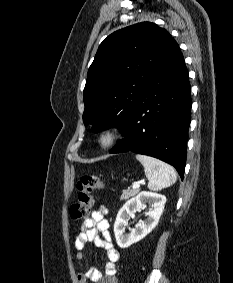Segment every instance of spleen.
<instances>
[{
	"label": "spleen",
	"mask_w": 233,
	"mask_h": 283,
	"mask_svg": "<svg viewBox=\"0 0 233 283\" xmlns=\"http://www.w3.org/2000/svg\"><path fill=\"white\" fill-rule=\"evenodd\" d=\"M136 159L143 165L148 178V188L158 191L173 185L177 180V174L172 166L157 160L156 158L137 154Z\"/></svg>",
	"instance_id": "3e777b00"
}]
</instances>
